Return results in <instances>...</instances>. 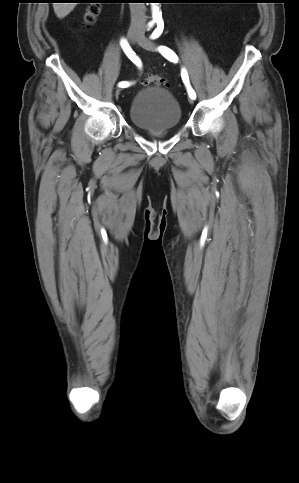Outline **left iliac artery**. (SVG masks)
<instances>
[{"label": "left iliac artery", "instance_id": "44dca946", "mask_svg": "<svg viewBox=\"0 0 299 483\" xmlns=\"http://www.w3.org/2000/svg\"><path fill=\"white\" fill-rule=\"evenodd\" d=\"M157 25H158V28L155 29V31L152 33L151 39H156L157 37H159V35L162 32V30L159 29L161 27V23H158ZM158 51L169 61H177L178 60V57L175 54V52L172 51L170 48H168L166 46H159ZM181 77H182V80H183V82H184V84L187 88L189 97L194 100L196 98V93L190 85L189 76H188V73H187L185 68H182V70H181Z\"/></svg>", "mask_w": 299, "mask_h": 483}]
</instances>
